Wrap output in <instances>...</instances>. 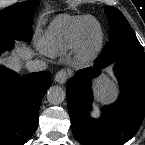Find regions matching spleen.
<instances>
[{"label":"spleen","instance_id":"3e777b00","mask_svg":"<svg viewBox=\"0 0 145 145\" xmlns=\"http://www.w3.org/2000/svg\"><path fill=\"white\" fill-rule=\"evenodd\" d=\"M95 93L100 102H109L115 98L116 88L109 79H101L96 84Z\"/></svg>","mask_w":145,"mask_h":145}]
</instances>
